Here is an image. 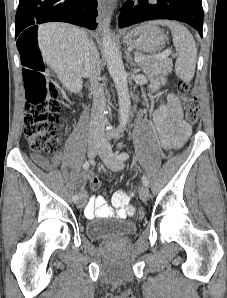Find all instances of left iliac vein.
<instances>
[{"instance_id":"obj_1","label":"left iliac vein","mask_w":227,"mask_h":298,"mask_svg":"<svg viewBox=\"0 0 227 298\" xmlns=\"http://www.w3.org/2000/svg\"><path fill=\"white\" fill-rule=\"evenodd\" d=\"M99 156L106 164L108 168L114 171H120L124 164L121 160L117 158V155L112 151L109 144L102 145ZM139 196L142 201H147L149 199L150 193L149 189L146 186H142L139 192Z\"/></svg>"}]
</instances>
